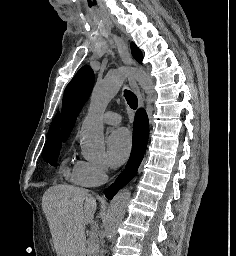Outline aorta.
<instances>
[{
	"label": "aorta",
	"mask_w": 236,
	"mask_h": 256,
	"mask_svg": "<svg viewBox=\"0 0 236 256\" xmlns=\"http://www.w3.org/2000/svg\"><path fill=\"white\" fill-rule=\"evenodd\" d=\"M132 73L144 91L154 100L156 97L154 83L149 74L142 69H133ZM128 74L129 70L121 67L109 73L94 86L90 97L88 115L81 128V141L96 152H101L104 149L102 115L108 103L120 90ZM130 195L129 189L125 188L110 202L104 225V237L107 240L116 234L118 225L124 217Z\"/></svg>",
	"instance_id": "1"
}]
</instances>
